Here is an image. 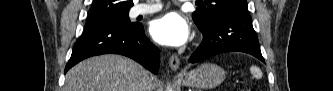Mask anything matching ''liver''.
<instances>
[{"mask_svg": "<svg viewBox=\"0 0 333 91\" xmlns=\"http://www.w3.org/2000/svg\"><path fill=\"white\" fill-rule=\"evenodd\" d=\"M155 84L137 62L119 55H102L80 62L66 74L64 91H142Z\"/></svg>", "mask_w": 333, "mask_h": 91, "instance_id": "obj_1", "label": "liver"}]
</instances>
